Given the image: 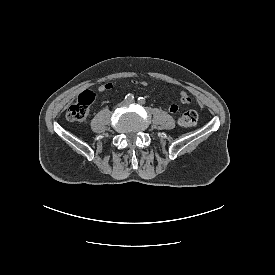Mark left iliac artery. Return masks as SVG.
<instances>
[{
  "label": "left iliac artery",
  "mask_w": 275,
  "mask_h": 275,
  "mask_svg": "<svg viewBox=\"0 0 275 275\" xmlns=\"http://www.w3.org/2000/svg\"><path fill=\"white\" fill-rule=\"evenodd\" d=\"M145 98H143V97H139L138 98V103H140L141 105H143V104H145Z\"/></svg>",
  "instance_id": "obj_1"
}]
</instances>
